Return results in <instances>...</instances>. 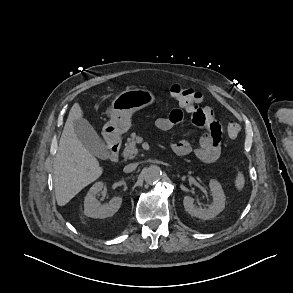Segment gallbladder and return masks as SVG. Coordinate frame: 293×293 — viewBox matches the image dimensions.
Here are the masks:
<instances>
[{
	"mask_svg": "<svg viewBox=\"0 0 293 293\" xmlns=\"http://www.w3.org/2000/svg\"><path fill=\"white\" fill-rule=\"evenodd\" d=\"M73 126L77 138L91 154L100 159L106 158L108 151L104 141L86 119L74 120Z\"/></svg>",
	"mask_w": 293,
	"mask_h": 293,
	"instance_id": "obj_1",
	"label": "gallbladder"
}]
</instances>
